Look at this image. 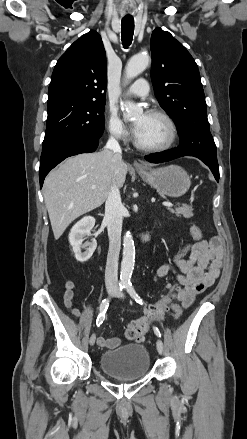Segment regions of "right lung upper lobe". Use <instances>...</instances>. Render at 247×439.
Segmentation results:
<instances>
[{"label": "right lung upper lobe", "instance_id": "right-lung-upper-lobe-1", "mask_svg": "<svg viewBox=\"0 0 247 439\" xmlns=\"http://www.w3.org/2000/svg\"><path fill=\"white\" fill-rule=\"evenodd\" d=\"M106 52L101 36L90 31L57 61L48 90V106L66 100L105 101Z\"/></svg>", "mask_w": 247, "mask_h": 439}]
</instances>
